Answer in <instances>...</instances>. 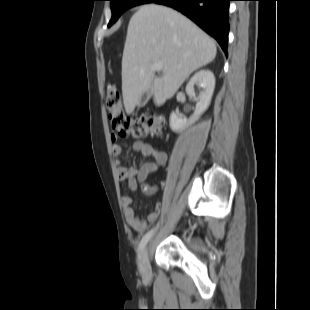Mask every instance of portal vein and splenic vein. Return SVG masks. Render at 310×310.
I'll return each mask as SVG.
<instances>
[{
  "label": "portal vein and splenic vein",
  "instance_id": "1",
  "mask_svg": "<svg viewBox=\"0 0 310 310\" xmlns=\"http://www.w3.org/2000/svg\"><path fill=\"white\" fill-rule=\"evenodd\" d=\"M162 67H163V65H162L161 62L155 63V64L151 65V69L154 70V71H161Z\"/></svg>",
  "mask_w": 310,
  "mask_h": 310
}]
</instances>
